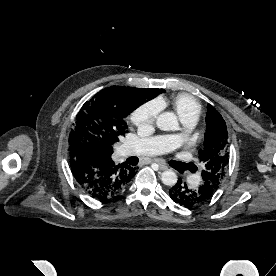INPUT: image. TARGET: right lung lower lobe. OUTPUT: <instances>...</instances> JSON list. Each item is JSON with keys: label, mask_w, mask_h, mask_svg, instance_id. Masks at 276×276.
<instances>
[{"label": "right lung lower lobe", "mask_w": 276, "mask_h": 276, "mask_svg": "<svg viewBox=\"0 0 276 276\" xmlns=\"http://www.w3.org/2000/svg\"><path fill=\"white\" fill-rule=\"evenodd\" d=\"M70 168L82 190L100 201L120 194L138 169L122 164L115 165L111 158L98 157L89 150L70 154Z\"/></svg>", "instance_id": "obj_1"}]
</instances>
